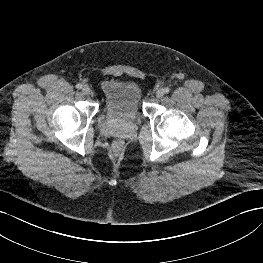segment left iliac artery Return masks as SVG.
Wrapping results in <instances>:
<instances>
[{"mask_svg": "<svg viewBox=\"0 0 263 263\" xmlns=\"http://www.w3.org/2000/svg\"><path fill=\"white\" fill-rule=\"evenodd\" d=\"M170 92V89L168 88V87H166L165 89H164V93L165 94H168Z\"/></svg>", "mask_w": 263, "mask_h": 263, "instance_id": "left-iliac-artery-1", "label": "left iliac artery"}]
</instances>
